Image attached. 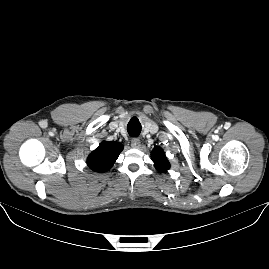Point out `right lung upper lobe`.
Returning a JSON list of instances; mask_svg holds the SVG:
<instances>
[{"label": "right lung upper lobe", "mask_w": 269, "mask_h": 269, "mask_svg": "<svg viewBox=\"0 0 269 269\" xmlns=\"http://www.w3.org/2000/svg\"><path fill=\"white\" fill-rule=\"evenodd\" d=\"M123 150L119 142H102L88 157V166L96 172L108 171Z\"/></svg>", "instance_id": "right-lung-upper-lobe-1"}]
</instances>
